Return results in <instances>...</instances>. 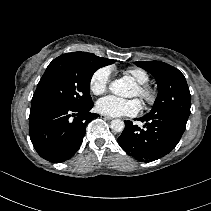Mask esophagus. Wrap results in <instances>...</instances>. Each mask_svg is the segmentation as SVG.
Here are the masks:
<instances>
[{
  "label": "esophagus",
  "mask_w": 211,
  "mask_h": 211,
  "mask_svg": "<svg viewBox=\"0 0 211 211\" xmlns=\"http://www.w3.org/2000/svg\"><path fill=\"white\" fill-rule=\"evenodd\" d=\"M102 117H103L104 119H106V120H111V119H112V117L107 116V115H102Z\"/></svg>",
  "instance_id": "obj_1"
}]
</instances>
